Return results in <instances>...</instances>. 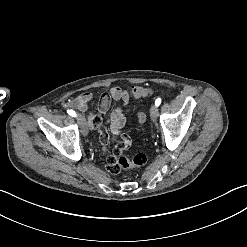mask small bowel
<instances>
[{
  "instance_id": "obj_1",
  "label": "small bowel",
  "mask_w": 247,
  "mask_h": 247,
  "mask_svg": "<svg viewBox=\"0 0 247 247\" xmlns=\"http://www.w3.org/2000/svg\"><path fill=\"white\" fill-rule=\"evenodd\" d=\"M94 95L91 92H84L65 102L64 106L68 109H76L79 111H86L89 104L94 100ZM111 100L127 104L129 101V94L121 87H112L109 93L103 94L99 99V113L90 114L88 116L87 124L90 129L98 128L96 124L97 119H101V114L106 112L110 106ZM110 129L114 135H120L126 120L123 111L120 107L114 108L110 113ZM139 122H143L145 116L142 113L137 114ZM98 144L101 147H106L109 144V129L106 126H101L98 129ZM132 147V138L127 134H123L119 138V143L114 147V152L117 155H122L126 150ZM105 163L109 166L107 173L110 176H116L119 173V168L114 165L116 158L113 155H108L105 158Z\"/></svg>"
}]
</instances>
